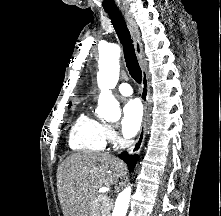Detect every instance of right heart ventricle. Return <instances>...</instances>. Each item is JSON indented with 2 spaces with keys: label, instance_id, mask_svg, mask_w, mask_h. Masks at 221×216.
<instances>
[{
  "label": "right heart ventricle",
  "instance_id": "right-heart-ventricle-1",
  "mask_svg": "<svg viewBox=\"0 0 221 216\" xmlns=\"http://www.w3.org/2000/svg\"><path fill=\"white\" fill-rule=\"evenodd\" d=\"M105 126L88 114H81L74 122L69 133L70 148L83 152L103 150L107 142Z\"/></svg>",
  "mask_w": 221,
  "mask_h": 216
}]
</instances>
